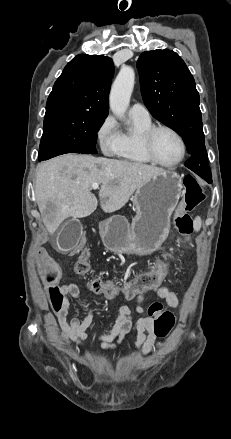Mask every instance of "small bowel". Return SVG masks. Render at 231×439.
<instances>
[{"mask_svg": "<svg viewBox=\"0 0 231 439\" xmlns=\"http://www.w3.org/2000/svg\"><path fill=\"white\" fill-rule=\"evenodd\" d=\"M169 256L170 255L166 253L162 260H168ZM154 291L169 307L174 309L178 307V297L174 292L169 290V286L166 283H163L161 286L158 285ZM60 292L64 294V308L61 313H55V315L61 328L62 336L67 345L79 348L88 338L87 329L93 322L94 309L87 305L86 316L82 320L78 318L67 320L71 300L80 299L81 291L76 284L69 283L60 286ZM146 296L147 295H138L137 298H126L128 300L136 299L137 306L135 312L139 314H144L146 312V315L140 317L136 322L137 336L133 346L134 349L141 350L143 354H148L153 350L163 347L162 342L156 341V335L153 331V320L162 310V304L153 303L148 310L145 311L142 304ZM133 312V309L127 305H123L119 308L118 315L111 331L108 334L98 336L100 346L104 350L111 351L116 349L123 341L125 335L131 331L133 327Z\"/></svg>", "mask_w": 231, "mask_h": 439, "instance_id": "1", "label": "small bowel"}]
</instances>
